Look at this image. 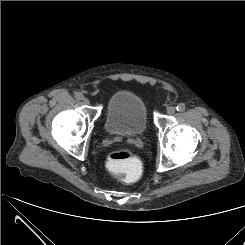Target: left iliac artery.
<instances>
[{"label": "left iliac artery", "mask_w": 245, "mask_h": 245, "mask_svg": "<svg viewBox=\"0 0 245 245\" xmlns=\"http://www.w3.org/2000/svg\"><path fill=\"white\" fill-rule=\"evenodd\" d=\"M185 108H186L185 104H183V103L178 104L176 107L177 111H179V112H183L185 110Z\"/></svg>", "instance_id": "1"}]
</instances>
